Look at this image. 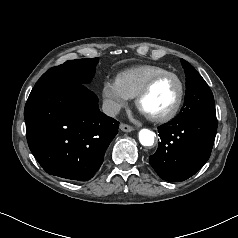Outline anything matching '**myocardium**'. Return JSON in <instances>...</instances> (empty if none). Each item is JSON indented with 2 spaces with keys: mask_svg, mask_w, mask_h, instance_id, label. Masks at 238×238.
<instances>
[{
  "mask_svg": "<svg viewBox=\"0 0 238 238\" xmlns=\"http://www.w3.org/2000/svg\"><path fill=\"white\" fill-rule=\"evenodd\" d=\"M168 76L173 77L177 80V82L179 84V93H178V96H177V99H176L174 105L167 112L160 114V115H155V116H149V115L145 114L146 117L153 122H157V123L166 122V121L173 119L178 114V112L181 109V106H182V103L184 100V96H185V83H184L183 79L178 74L171 72V71H165V72L156 74V75L152 76L145 83V85L140 89V91L135 96V105L140 110V104H141L142 99L151 91L154 84L157 81H159L160 79H162L164 77H168Z\"/></svg>",
  "mask_w": 238,
  "mask_h": 238,
  "instance_id": "f54148a6",
  "label": "myocardium"
}]
</instances>
